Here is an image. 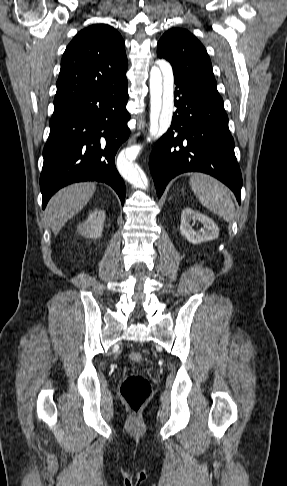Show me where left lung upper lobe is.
<instances>
[{"mask_svg":"<svg viewBox=\"0 0 287 486\" xmlns=\"http://www.w3.org/2000/svg\"><path fill=\"white\" fill-rule=\"evenodd\" d=\"M157 56L171 63L174 75L188 79L216 100L223 102L217 91L207 51L188 30H168L158 42Z\"/></svg>","mask_w":287,"mask_h":486,"instance_id":"1","label":"left lung upper lobe"}]
</instances>
